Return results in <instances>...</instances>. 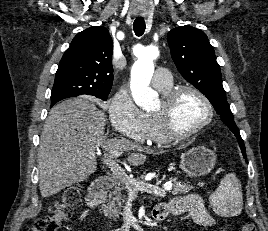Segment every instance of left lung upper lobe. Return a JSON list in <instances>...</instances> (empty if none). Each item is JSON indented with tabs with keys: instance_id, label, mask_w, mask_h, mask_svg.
Here are the masks:
<instances>
[{
	"instance_id": "left-lung-upper-lobe-1",
	"label": "left lung upper lobe",
	"mask_w": 268,
	"mask_h": 231,
	"mask_svg": "<svg viewBox=\"0 0 268 231\" xmlns=\"http://www.w3.org/2000/svg\"><path fill=\"white\" fill-rule=\"evenodd\" d=\"M167 39L172 59L181 75L210 100L222 121L238 139L240 148L245 149L226 100L220 66L206 34L185 25L169 31Z\"/></svg>"
}]
</instances>
